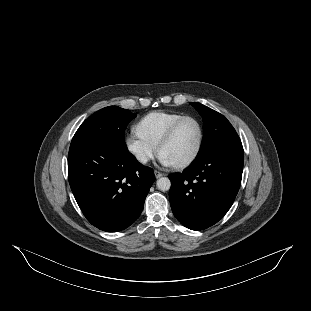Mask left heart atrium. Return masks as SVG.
Instances as JSON below:
<instances>
[{
	"instance_id": "left-heart-atrium-1",
	"label": "left heart atrium",
	"mask_w": 311,
	"mask_h": 311,
	"mask_svg": "<svg viewBox=\"0 0 311 311\" xmlns=\"http://www.w3.org/2000/svg\"><path fill=\"white\" fill-rule=\"evenodd\" d=\"M158 161L163 166H174V163L162 154H160Z\"/></svg>"
}]
</instances>
